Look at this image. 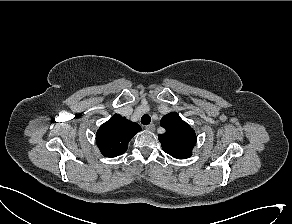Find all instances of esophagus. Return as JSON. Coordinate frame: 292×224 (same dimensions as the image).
Returning a JSON list of instances; mask_svg holds the SVG:
<instances>
[{"label": "esophagus", "instance_id": "esophagus-1", "mask_svg": "<svg viewBox=\"0 0 292 224\" xmlns=\"http://www.w3.org/2000/svg\"><path fill=\"white\" fill-rule=\"evenodd\" d=\"M145 129L152 132L155 130V125L153 123H151V124L147 125L145 127Z\"/></svg>", "mask_w": 292, "mask_h": 224}]
</instances>
